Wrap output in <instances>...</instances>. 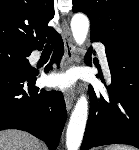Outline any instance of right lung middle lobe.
<instances>
[{
	"label": "right lung middle lobe",
	"mask_w": 139,
	"mask_h": 150,
	"mask_svg": "<svg viewBox=\"0 0 139 150\" xmlns=\"http://www.w3.org/2000/svg\"><path fill=\"white\" fill-rule=\"evenodd\" d=\"M31 52L18 50L10 46L0 45V64H16L31 69L28 57Z\"/></svg>",
	"instance_id": "1"
}]
</instances>
